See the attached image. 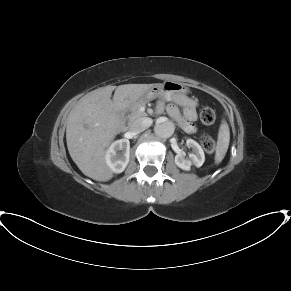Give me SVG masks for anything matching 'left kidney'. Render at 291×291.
Segmentation results:
<instances>
[{
	"mask_svg": "<svg viewBox=\"0 0 291 291\" xmlns=\"http://www.w3.org/2000/svg\"><path fill=\"white\" fill-rule=\"evenodd\" d=\"M186 145L192 149L189 158L185 157L184 152L179 151L175 156V164L185 171H189L191 166L201 167L205 161V155L201 146L193 139H187Z\"/></svg>",
	"mask_w": 291,
	"mask_h": 291,
	"instance_id": "left-kidney-1",
	"label": "left kidney"
}]
</instances>
